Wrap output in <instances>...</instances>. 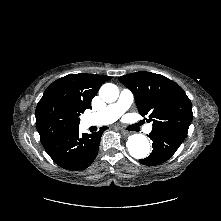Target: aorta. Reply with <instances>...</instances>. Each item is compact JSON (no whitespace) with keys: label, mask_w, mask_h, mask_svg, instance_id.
I'll return each mask as SVG.
<instances>
[{"label":"aorta","mask_w":221,"mask_h":221,"mask_svg":"<svg viewBox=\"0 0 221 221\" xmlns=\"http://www.w3.org/2000/svg\"><path fill=\"white\" fill-rule=\"evenodd\" d=\"M99 96L106 103L115 102L119 96V89L112 83L103 84L99 90ZM126 146L129 154L137 159L145 158L150 152L149 141L142 134H133L129 136Z\"/></svg>","instance_id":"1"}]
</instances>
